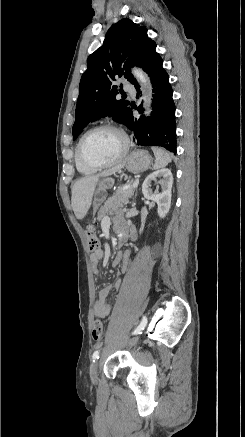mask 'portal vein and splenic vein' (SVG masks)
Instances as JSON below:
<instances>
[{
    "label": "portal vein and splenic vein",
    "mask_w": 245,
    "mask_h": 437,
    "mask_svg": "<svg viewBox=\"0 0 245 437\" xmlns=\"http://www.w3.org/2000/svg\"><path fill=\"white\" fill-rule=\"evenodd\" d=\"M138 184H139V181H138V180H135V181L133 182V188H134V189L137 188Z\"/></svg>",
    "instance_id": "1"
}]
</instances>
